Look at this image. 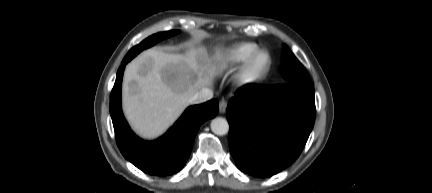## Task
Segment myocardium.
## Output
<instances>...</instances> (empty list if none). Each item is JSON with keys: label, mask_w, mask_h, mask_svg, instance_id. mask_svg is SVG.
Returning a JSON list of instances; mask_svg holds the SVG:
<instances>
[{"label": "myocardium", "mask_w": 432, "mask_h": 193, "mask_svg": "<svg viewBox=\"0 0 432 193\" xmlns=\"http://www.w3.org/2000/svg\"><path fill=\"white\" fill-rule=\"evenodd\" d=\"M265 57L264 65L257 68L256 64L260 57ZM272 65V57L268 50L257 49L242 65L235 76L236 82L241 86H252L265 80Z\"/></svg>", "instance_id": "myocardium-1"}]
</instances>
